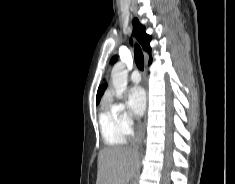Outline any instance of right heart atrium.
I'll return each instance as SVG.
<instances>
[{
    "label": "right heart atrium",
    "mask_w": 235,
    "mask_h": 184,
    "mask_svg": "<svg viewBox=\"0 0 235 184\" xmlns=\"http://www.w3.org/2000/svg\"><path fill=\"white\" fill-rule=\"evenodd\" d=\"M112 107L121 132L126 137H132L136 133L137 127L128 109L123 103H115Z\"/></svg>",
    "instance_id": "1"
}]
</instances>
